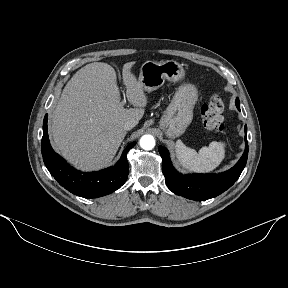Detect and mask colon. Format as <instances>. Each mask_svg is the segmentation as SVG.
Returning <instances> with one entry per match:
<instances>
[{
	"mask_svg": "<svg viewBox=\"0 0 288 288\" xmlns=\"http://www.w3.org/2000/svg\"><path fill=\"white\" fill-rule=\"evenodd\" d=\"M224 102L218 95H213L201 108L204 128L212 133L219 134L224 130Z\"/></svg>",
	"mask_w": 288,
	"mask_h": 288,
	"instance_id": "obj_1",
	"label": "colon"
}]
</instances>
